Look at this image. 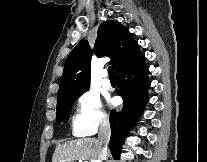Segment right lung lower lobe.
<instances>
[{
  "mask_svg": "<svg viewBox=\"0 0 207 162\" xmlns=\"http://www.w3.org/2000/svg\"><path fill=\"white\" fill-rule=\"evenodd\" d=\"M148 72L143 54L116 72L118 81L116 92L122 97L124 104L121 111L112 110L110 113L109 147L115 160L119 159L121 145L131 124L142 113L148 101L147 90L150 86Z\"/></svg>",
  "mask_w": 207,
  "mask_h": 162,
  "instance_id": "obj_1",
  "label": "right lung lower lobe"
}]
</instances>
